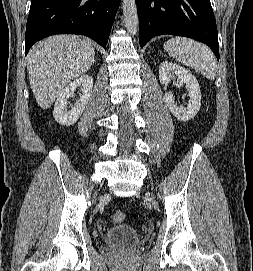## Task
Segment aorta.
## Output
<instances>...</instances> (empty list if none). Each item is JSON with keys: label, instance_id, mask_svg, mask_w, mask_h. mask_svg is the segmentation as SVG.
Returning <instances> with one entry per match:
<instances>
[{"label": "aorta", "instance_id": "aorta-1", "mask_svg": "<svg viewBox=\"0 0 253 271\" xmlns=\"http://www.w3.org/2000/svg\"><path fill=\"white\" fill-rule=\"evenodd\" d=\"M124 25L130 35H136L138 31V14L135 0H122Z\"/></svg>", "mask_w": 253, "mask_h": 271}]
</instances>
